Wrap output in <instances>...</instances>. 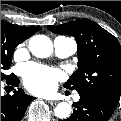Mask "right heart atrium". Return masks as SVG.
I'll return each instance as SVG.
<instances>
[{
    "instance_id": "1",
    "label": "right heart atrium",
    "mask_w": 121,
    "mask_h": 121,
    "mask_svg": "<svg viewBox=\"0 0 121 121\" xmlns=\"http://www.w3.org/2000/svg\"><path fill=\"white\" fill-rule=\"evenodd\" d=\"M25 47L24 44L18 45V47L15 50L14 56L16 59H21L24 55Z\"/></svg>"
}]
</instances>
